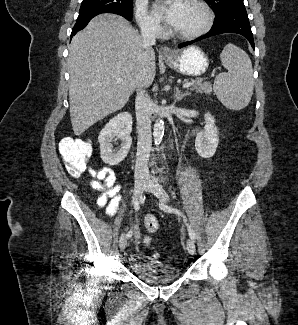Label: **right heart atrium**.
<instances>
[{
  "label": "right heart atrium",
  "instance_id": "right-heart-atrium-1",
  "mask_svg": "<svg viewBox=\"0 0 298 325\" xmlns=\"http://www.w3.org/2000/svg\"><path fill=\"white\" fill-rule=\"evenodd\" d=\"M136 17L141 30H157V35L161 33L162 28L149 12L146 0L137 1Z\"/></svg>",
  "mask_w": 298,
  "mask_h": 325
}]
</instances>
